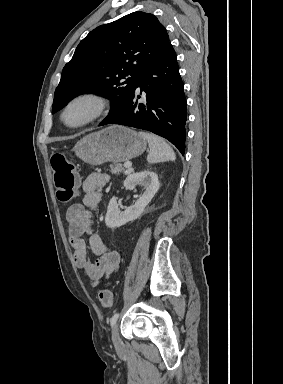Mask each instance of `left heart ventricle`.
<instances>
[{
    "instance_id": "left-heart-ventricle-1",
    "label": "left heart ventricle",
    "mask_w": 283,
    "mask_h": 384,
    "mask_svg": "<svg viewBox=\"0 0 283 384\" xmlns=\"http://www.w3.org/2000/svg\"><path fill=\"white\" fill-rule=\"evenodd\" d=\"M91 113V105L88 102H78L66 113L65 120L68 124L74 125L84 121Z\"/></svg>"
}]
</instances>
